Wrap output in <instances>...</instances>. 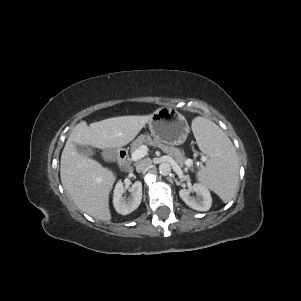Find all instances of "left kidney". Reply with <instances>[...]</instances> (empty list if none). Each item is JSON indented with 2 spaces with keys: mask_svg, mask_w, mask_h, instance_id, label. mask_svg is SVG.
I'll use <instances>...</instances> for the list:
<instances>
[{
  "mask_svg": "<svg viewBox=\"0 0 301 301\" xmlns=\"http://www.w3.org/2000/svg\"><path fill=\"white\" fill-rule=\"evenodd\" d=\"M192 192L196 197L191 196ZM180 198L192 209L197 211H208L212 205V198L208 188L203 184H194L191 188L181 189Z\"/></svg>",
  "mask_w": 301,
  "mask_h": 301,
  "instance_id": "5707ae66",
  "label": "left kidney"
}]
</instances>
